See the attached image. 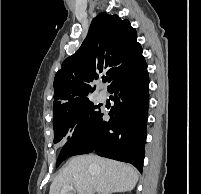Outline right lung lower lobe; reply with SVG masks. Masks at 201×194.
I'll return each instance as SVG.
<instances>
[{
	"label": "right lung lower lobe",
	"instance_id": "1",
	"mask_svg": "<svg viewBox=\"0 0 201 194\" xmlns=\"http://www.w3.org/2000/svg\"><path fill=\"white\" fill-rule=\"evenodd\" d=\"M108 90L115 93L110 120L105 121L100 113L83 132L66 142L61 153L70 157L95 151L100 156L131 163L142 172L149 102L144 57Z\"/></svg>",
	"mask_w": 201,
	"mask_h": 194
}]
</instances>
